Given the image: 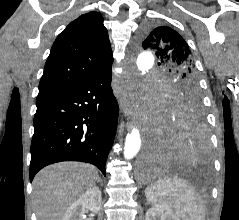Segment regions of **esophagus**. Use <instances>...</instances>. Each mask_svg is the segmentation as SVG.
Returning a JSON list of instances; mask_svg holds the SVG:
<instances>
[{
  "label": "esophagus",
  "instance_id": "esophagus-1",
  "mask_svg": "<svg viewBox=\"0 0 239 220\" xmlns=\"http://www.w3.org/2000/svg\"><path fill=\"white\" fill-rule=\"evenodd\" d=\"M131 125H132V122H129V123L127 124L128 127H130Z\"/></svg>",
  "mask_w": 239,
  "mask_h": 220
}]
</instances>
